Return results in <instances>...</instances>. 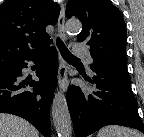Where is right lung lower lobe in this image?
Listing matches in <instances>:
<instances>
[{
  "label": "right lung lower lobe",
  "instance_id": "1",
  "mask_svg": "<svg viewBox=\"0 0 144 137\" xmlns=\"http://www.w3.org/2000/svg\"><path fill=\"white\" fill-rule=\"evenodd\" d=\"M25 60L36 65L39 81L24 78ZM58 58L50 43L26 56L9 70L0 72V113L20 116L35 126L45 137H50V105L56 87Z\"/></svg>",
  "mask_w": 144,
  "mask_h": 137
}]
</instances>
